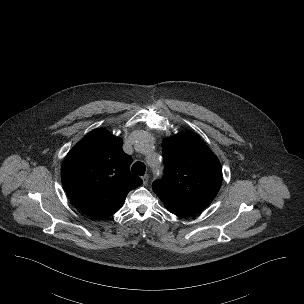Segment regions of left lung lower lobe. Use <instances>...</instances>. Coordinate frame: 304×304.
Returning <instances> with one entry per match:
<instances>
[{"label":"left lung lower lobe","instance_id":"left-lung-lower-lobe-1","mask_svg":"<svg viewBox=\"0 0 304 304\" xmlns=\"http://www.w3.org/2000/svg\"><path fill=\"white\" fill-rule=\"evenodd\" d=\"M168 211H170V210H168ZM171 213H173V214H176V215H179V216H182V215H180V214H178V213H175V212H173V211H170Z\"/></svg>","mask_w":304,"mask_h":304}]
</instances>
